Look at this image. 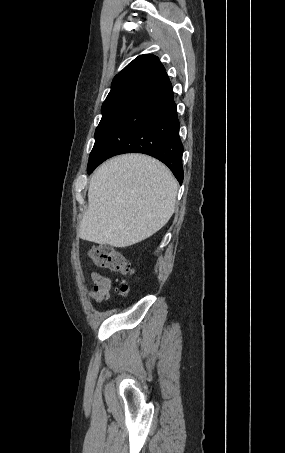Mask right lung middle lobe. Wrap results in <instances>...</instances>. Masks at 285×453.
Segmentation results:
<instances>
[{
	"mask_svg": "<svg viewBox=\"0 0 285 453\" xmlns=\"http://www.w3.org/2000/svg\"><path fill=\"white\" fill-rule=\"evenodd\" d=\"M127 99H128V97H119V98H115L113 100L103 103L102 108H101L102 118H101L99 125L97 126V128L95 130V144L90 153L88 164L93 159V157L102 141V138H103L105 132L107 131V129L109 128L111 122L113 121L115 115L117 114V112L119 111L121 106L126 102Z\"/></svg>",
	"mask_w": 285,
	"mask_h": 453,
	"instance_id": "right-lung-middle-lobe-1",
	"label": "right lung middle lobe"
}]
</instances>
